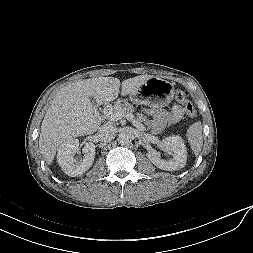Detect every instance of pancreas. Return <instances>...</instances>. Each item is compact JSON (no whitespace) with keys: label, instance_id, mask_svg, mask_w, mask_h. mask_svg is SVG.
Segmentation results:
<instances>
[{"label":"pancreas","instance_id":"cf45deb5","mask_svg":"<svg viewBox=\"0 0 253 253\" xmlns=\"http://www.w3.org/2000/svg\"><path fill=\"white\" fill-rule=\"evenodd\" d=\"M109 110H116L123 112L124 114L129 112L132 113L134 112V108L131 104H129L127 101H123L122 103L118 102L115 105L111 106ZM139 122H141V119H138Z\"/></svg>","mask_w":253,"mask_h":253}]
</instances>
